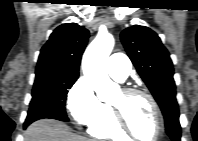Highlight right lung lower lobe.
<instances>
[{
	"label": "right lung lower lobe",
	"instance_id": "1",
	"mask_svg": "<svg viewBox=\"0 0 198 141\" xmlns=\"http://www.w3.org/2000/svg\"><path fill=\"white\" fill-rule=\"evenodd\" d=\"M28 125L27 124H24V128H26Z\"/></svg>",
	"mask_w": 198,
	"mask_h": 141
}]
</instances>
